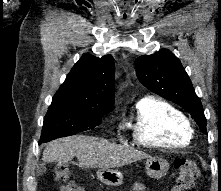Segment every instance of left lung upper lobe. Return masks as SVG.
Here are the masks:
<instances>
[{"label":"left lung upper lobe","mask_w":221,"mask_h":191,"mask_svg":"<svg viewBox=\"0 0 221 191\" xmlns=\"http://www.w3.org/2000/svg\"><path fill=\"white\" fill-rule=\"evenodd\" d=\"M139 81L152 92L170 100L191 114L206 134V118L199 97L180 60L168 49L142 55L135 61Z\"/></svg>","instance_id":"obj_1"}]
</instances>
